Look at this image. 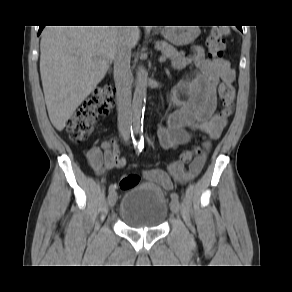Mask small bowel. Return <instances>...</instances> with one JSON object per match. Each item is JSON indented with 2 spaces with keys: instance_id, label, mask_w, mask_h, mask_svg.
Returning a JSON list of instances; mask_svg holds the SVG:
<instances>
[{
  "instance_id": "obj_1",
  "label": "small bowel",
  "mask_w": 292,
  "mask_h": 292,
  "mask_svg": "<svg viewBox=\"0 0 292 292\" xmlns=\"http://www.w3.org/2000/svg\"><path fill=\"white\" fill-rule=\"evenodd\" d=\"M189 64H193L194 69L187 73L170 98L178 109L168 117L166 125L160 126L157 131L159 143L164 149L189 143L196 130L206 133L209 139H216L226 125V119L217 113L216 88L220 81H234L235 71L230 61L207 58L201 47H194L191 55L174 61V66L178 69ZM203 146L204 151L193 160L188 169L179 162H172L167 170H144V179L168 191L174 188L175 183H186L194 179L203 168L211 147L210 140H205ZM87 159L99 175L126 165V158L121 155L119 143L113 137L102 141L100 146L91 147L87 152Z\"/></svg>"
}]
</instances>
